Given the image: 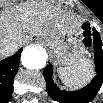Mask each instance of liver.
<instances>
[{
  "instance_id": "obj_1",
  "label": "liver",
  "mask_w": 103,
  "mask_h": 103,
  "mask_svg": "<svg viewBox=\"0 0 103 103\" xmlns=\"http://www.w3.org/2000/svg\"><path fill=\"white\" fill-rule=\"evenodd\" d=\"M81 26L73 14L64 12L49 1L27 0L0 18L1 55H12L23 43L33 36L49 37L67 28ZM15 46L3 51L4 45Z\"/></svg>"
}]
</instances>
